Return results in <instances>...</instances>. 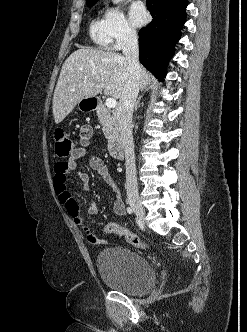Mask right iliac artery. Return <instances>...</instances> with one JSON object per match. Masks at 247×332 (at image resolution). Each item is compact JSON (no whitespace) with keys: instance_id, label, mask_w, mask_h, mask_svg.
Instances as JSON below:
<instances>
[{"instance_id":"right-iliac-artery-1","label":"right iliac artery","mask_w":247,"mask_h":332,"mask_svg":"<svg viewBox=\"0 0 247 332\" xmlns=\"http://www.w3.org/2000/svg\"><path fill=\"white\" fill-rule=\"evenodd\" d=\"M127 212H128L129 214H133V210H132V208L128 207V208H127Z\"/></svg>"}]
</instances>
